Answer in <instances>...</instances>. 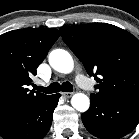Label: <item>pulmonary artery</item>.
<instances>
[{
	"label": "pulmonary artery",
	"instance_id": "e3ab8cb5",
	"mask_svg": "<svg viewBox=\"0 0 139 139\" xmlns=\"http://www.w3.org/2000/svg\"><path fill=\"white\" fill-rule=\"evenodd\" d=\"M76 81L81 87L86 88V89L90 88L89 81L84 75L82 74L77 75Z\"/></svg>",
	"mask_w": 139,
	"mask_h": 139
}]
</instances>
